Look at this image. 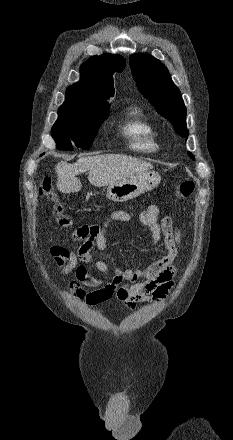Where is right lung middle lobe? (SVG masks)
I'll return each instance as SVG.
<instances>
[{
    "mask_svg": "<svg viewBox=\"0 0 233 440\" xmlns=\"http://www.w3.org/2000/svg\"><path fill=\"white\" fill-rule=\"evenodd\" d=\"M109 116V107L62 105L51 133L60 149L72 150L92 146L100 124Z\"/></svg>",
    "mask_w": 233,
    "mask_h": 440,
    "instance_id": "1",
    "label": "right lung middle lobe"
}]
</instances>
